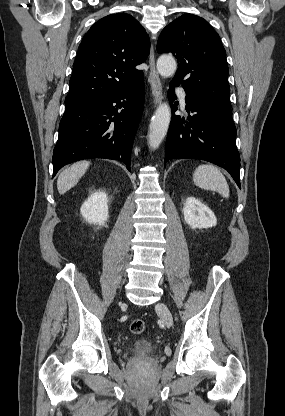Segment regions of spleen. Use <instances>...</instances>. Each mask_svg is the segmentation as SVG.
<instances>
[{"mask_svg": "<svg viewBox=\"0 0 285 416\" xmlns=\"http://www.w3.org/2000/svg\"><path fill=\"white\" fill-rule=\"evenodd\" d=\"M193 182L202 190L218 192L222 198L230 196L229 186L219 168L215 166H198L193 174Z\"/></svg>", "mask_w": 285, "mask_h": 416, "instance_id": "obj_1", "label": "spleen"}]
</instances>
